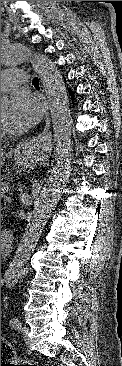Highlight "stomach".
I'll return each mask as SVG.
<instances>
[{
    "label": "stomach",
    "instance_id": "1",
    "mask_svg": "<svg viewBox=\"0 0 122 366\" xmlns=\"http://www.w3.org/2000/svg\"><path fill=\"white\" fill-rule=\"evenodd\" d=\"M23 155H24V153H22V154L18 155V156H17V157H18V159H20L21 157H23Z\"/></svg>",
    "mask_w": 122,
    "mask_h": 366
}]
</instances>
